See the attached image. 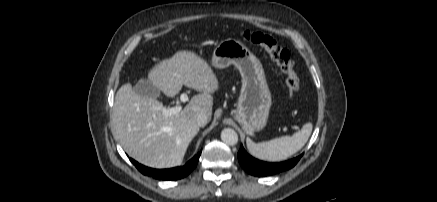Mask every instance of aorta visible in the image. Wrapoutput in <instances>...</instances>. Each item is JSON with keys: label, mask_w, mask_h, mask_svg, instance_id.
I'll return each mask as SVG.
<instances>
[{"label": "aorta", "mask_w": 437, "mask_h": 202, "mask_svg": "<svg viewBox=\"0 0 437 202\" xmlns=\"http://www.w3.org/2000/svg\"><path fill=\"white\" fill-rule=\"evenodd\" d=\"M221 139L225 144L233 146L238 143V134L234 129L225 128L221 132Z\"/></svg>", "instance_id": "obj_1"}]
</instances>
